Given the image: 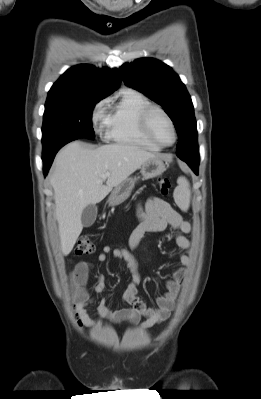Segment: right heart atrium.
Returning <instances> with one entry per match:
<instances>
[{
	"label": "right heart atrium",
	"mask_w": 261,
	"mask_h": 399,
	"mask_svg": "<svg viewBox=\"0 0 261 399\" xmlns=\"http://www.w3.org/2000/svg\"><path fill=\"white\" fill-rule=\"evenodd\" d=\"M106 106H107V100H101L95 105L92 111V116H91L92 124L95 132L98 134L102 133V131L106 127V117H107Z\"/></svg>",
	"instance_id": "obj_1"
}]
</instances>
